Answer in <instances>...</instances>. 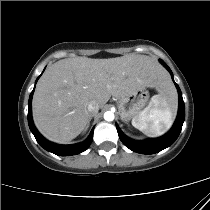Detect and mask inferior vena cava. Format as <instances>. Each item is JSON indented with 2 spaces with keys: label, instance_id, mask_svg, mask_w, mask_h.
<instances>
[{
  "label": "inferior vena cava",
  "instance_id": "inferior-vena-cava-1",
  "mask_svg": "<svg viewBox=\"0 0 210 210\" xmlns=\"http://www.w3.org/2000/svg\"><path fill=\"white\" fill-rule=\"evenodd\" d=\"M87 109H88L90 115H93L98 112L99 105L96 102L92 101L88 104Z\"/></svg>",
  "mask_w": 210,
  "mask_h": 210
}]
</instances>
